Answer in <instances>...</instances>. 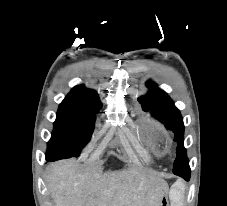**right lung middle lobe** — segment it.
<instances>
[{
    "instance_id": "1",
    "label": "right lung middle lobe",
    "mask_w": 227,
    "mask_h": 206,
    "mask_svg": "<svg viewBox=\"0 0 227 206\" xmlns=\"http://www.w3.org/2000/svg\"><path fill=\"white\" fill-rule=\"evenodd\" d=\"M100 107L99 99H64L57 112L46 157L54 161L77 157L91 138L95 114Z\"/></svg>"
}]
</instances>
